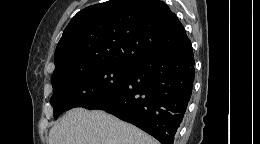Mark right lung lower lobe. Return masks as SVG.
Segmentation results:
<instances>
[{
  "instance_id": "1",
  "label": "right lung lower lobe",
  "mask_w": 260,
  "mask_h": 144,
  "mask_svg": "<svg viewBox=\"0 0 260 144\" xmlns=\"http://www.w3.org/2000/svg\"><path fill=\"white\" fill-rule=\"evenodd\" d=\"M194 76L193 50L187 38L132 64L117 92L86 109L104 110L161 144H173L192 94Z\"/></svg>"
}]
</instances>
